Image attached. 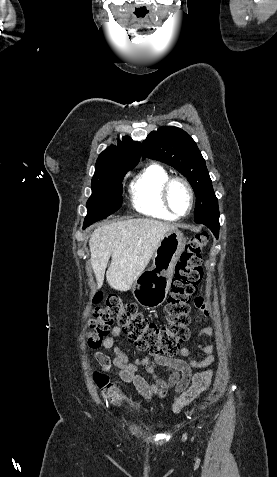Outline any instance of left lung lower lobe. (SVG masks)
<instances>
[{
    "label": "left lung lower lobe",
    "mask_w": 277,
    "mask_h": 477,
    "mask_svg": "<svg viewBox=\"0 0 277 477\" xmlns=\"http://www.w3.org/2000/svg\"><path fill=\"white\" fill-rule=\"evenodd\" d=\"M202 224L206 225L215 235L216 238H218L219 235V219H213V220H206L203 221Z\"/></svg>",
    "instance_id": "left-lung-lower-lobe-1"
}]
</instances>
